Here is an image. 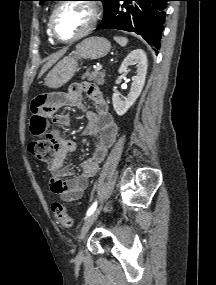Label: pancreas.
Listing matches in <instances>:
<instances>
[{
	"instance_id": "1",
	"label": "pancreas",
	"mask_w": 216,
	"mask_h": 285,
	"mask_svg": "<svg viewBox=\"0 0 216 285\" xmlns=\"http://www.w3.org/2000/svg\"><path fill=\"white\" fill-rule=\"evenodd\" d=\"M105 70L104 71H86L84 75H82V79H87L89 81H93L99 85L104 84L105 80Z\"/></svg>"
}]
</instances>
